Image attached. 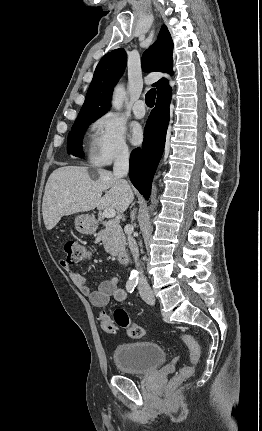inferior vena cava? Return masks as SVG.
Instances as JSON below:
<instances>
[{
    "label": "inferior vena cava",
    "instance_id": "602c4592",
    "mask_svg": "<svg viewBox=\"0 0 262 431\" xmlns=\"http://www.w3.org/2000/svg\"><path fill=\"white\" fill-rule=\"evenodd\" d=\"M129 170V151L127 148H122L118 151V153L115 156L114 160V166H113V173L114 176L118 178H123L127 176ZM127 183V181H125ZM128 245L131 250V253L134 257L136 267H139V250L136 244L135 239L132 236V231L128 232ZM138 289L140 292L143 291H150V286L148 285V282L146 278L143 276L142 271H140V274L138 276Z\"/></svg>",
    "mask_w": 262,
    "mask_h": 431
}]
</instances>
